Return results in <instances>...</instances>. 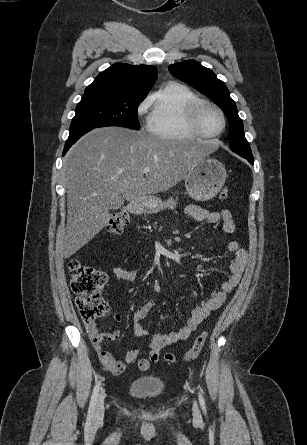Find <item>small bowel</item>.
Masks as SVG:
<instances>
[{
	"instance_id": "obj_1",
	"label": "small bowel",
	"mask_w": 307,
	"mask_h": 445,
	"mask_svg": "<svg viewBox=\"0 0 307 445\" xmlns=\"http://www.w3.org/2000/svg\"><path fill=\"white\" fill-rule=\"evenodd\" d=\"M185 213L196 221H204L209 224L222 222L223 229L229 235L235 233V224L232 213L223 209L220 212L208 211L197 205H188ZM228 251L233 255L234 259L229 265L230 275L221 285L218 291H214L211 296L200 302L192 311L187 319L184 327L170 333H152L150 334L142 325L141 321L152 310L155 303L151 299L145 300L133 313V327L138 337L151 335L150 351L147 358L138 361V368L146 371L151 363L157 362L162 349L176 342L184 341L196 331L199 325L211 314V312L219 309L227 296L239 284L247 262L248 252L237 240H232L227 245ZM131 258L126 259L123 264L117 266L113 270V275L119 279L132 281L136 278V271L129 267ZM195 294V293H194ZM86 330L92 341L93 347L99 356L101 363L113 374H121L125 371L126 366L133 363L138 355L139 350L134 349L127 352L124 361L117 360L111 353L104 349L102 342L106 337L110 340L118 338V334L109 331H100L96 324L90 323L86 325ZM115 334L117 336H115Z\"/></svg>"
}]
</instances>
